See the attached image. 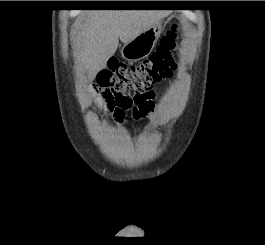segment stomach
I'll return each instance as SVG.
<instances>
[{"label": "stomach", "instance_id": "0dacf381", "mask_svg": "<svg viewBox=\"0 0 265 245\" xmlns=\"http://www.w3.org/2000/svg\"><path fill=\"white\" fill-rule=\"evenodd\" d=\"M162 31V21L141 32L130 42L124 44L121 55L129 62H136L147 57L155 47Z\"/></svg>", "mask_w": 265, "mask_h": 245}]
</instances>
